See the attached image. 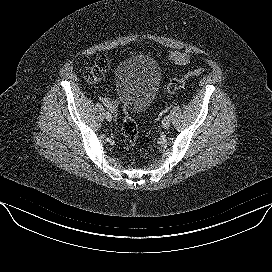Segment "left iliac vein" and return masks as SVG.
<instances>
[{
	"label": "left iliac vein",
	"instance_id": "left-iliac-vein-1",
	"mask_svg": "<svg viewBox=\"0 0 272 272\" xmlns=\"http://www.w3.org/2000/svg\"><path fill=\"white\" fill-rule=\"evenodd\" d=\"M162 127H163L164 129H168V128L170 127V120H169V119H164V120L162 121Z\"/></svg>",
	"mask_w": 272,
	"mask_h": 272
}]
</instances>
